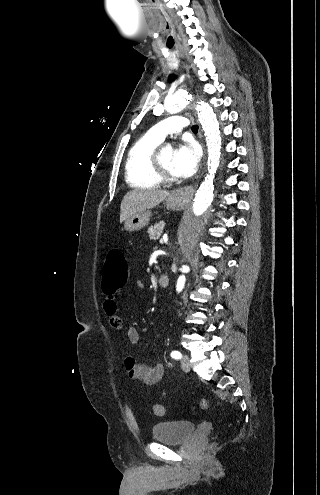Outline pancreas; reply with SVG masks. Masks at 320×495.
Listing matches in <instances>:
<instances>
[{
  "label": "pancreas",
  "instance_id": "1",
  "mask_svg": "<svg viewBox=\"0 0 320 495\" xmlns=\"http://www.w3.org/2000/svg\"><path fill=\"white\" fill-rule=\"evenodd\" d=\"M164 226H165V222L160 221L159 223L154 224V226L149 227L147 231L149 234V238L151 240L158 239L163 232Z\"/></svg>",
  "mask_w": 320,
  "mask_h": 495
}]
</instances>
